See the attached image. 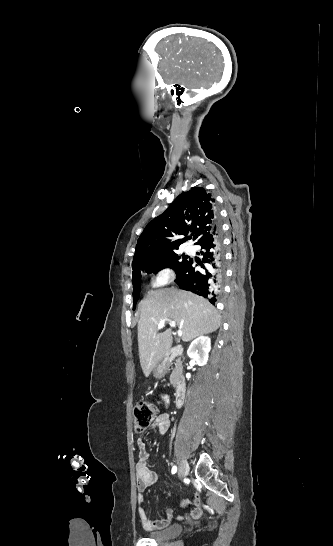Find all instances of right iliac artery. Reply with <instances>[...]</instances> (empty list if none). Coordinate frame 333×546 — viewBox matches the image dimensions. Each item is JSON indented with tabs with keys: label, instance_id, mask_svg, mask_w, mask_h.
<instances>
[{
	"label": "right iliac artery",
	"instance_id": "right-iliac-artery-1",
	"mask_svg": "<svg viewBox=\"0 0 333 546\" xmlns=\"http://www.w3.org/2000/svg\"><path fill=\"white\" fill-rule=\"evenodd\" d=\"M177 472V467L176 466H173L172 470H171V473L172 474H175Z\"/></svg>",
	"mask_w": 333,
	"mask_h": 546
}]
</instances>
